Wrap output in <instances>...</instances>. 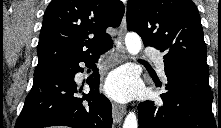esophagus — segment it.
<instances>
[{
    "label": "esophagus",
    "instance_id": "34e87169",
    "mask_svg": "<svg viewBox=\"0 0 221 128\" xmlns=\"http://www.w3.org/2000/svg\"><path fill=\"white\" fill-rule=\"evenodd\" d=\"M126 35V14H124L119 32L118 39L116 43L117 53L120 55L121 60L125 59V49H124V37ZM126 113V108L122 104H118L116 102L112 103V116L113 121L116 123H120L123 119V116Z\"/></svg>",
    "mask_w": 221,
    "mask_h": 128
}]
</instances>
